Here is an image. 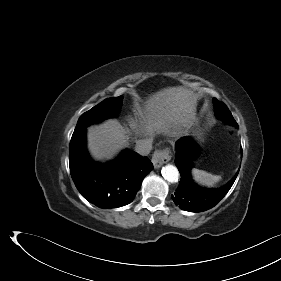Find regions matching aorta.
Returning a JSON list of instances; mask_svg holds the SVG:
<instances>
[{
  "label": "aorta",
  "instance_id": "aorta-1",
  "mask_svg": "<svg viewBox=\"0 0 281 281\" xmlns=\"http://www.w3.org/2000/svg\"><path fill=\"white\" fill-rule=\"evenodd\" d=\"M161 173L164 179L170 183H174L178 181L179 171L174 165L168 164L164 166L162 168Z\"/></svg>",
  "mask_w": 281,
  "mask_h": 281
}]
</instances>
